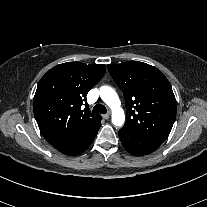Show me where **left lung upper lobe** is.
Instances as JSON below:
<instances>
[{
  "label": "left lung upper lobe",
  "mask_w": 207,
  "mask_h": 207,
  "mask_svg": "<svg viewBox=\"0 0 207 207\" xmlns=\"http://www.w3.org/2000/svg\"><path fill=\"white\" fill-rule=\"evenodd\" d=\"M107 67L126 101L122 129L165 141L176 117V99L167 78L157 68L138 61Z\"/></svg>",
  "instance_id": "obj_1"
}]
</instances>
